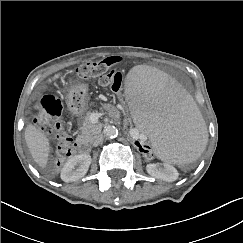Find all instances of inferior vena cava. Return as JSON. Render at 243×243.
<instances>
[{"label": "inferior vena cava", "mask_w": 243, "mask_h": 243, "mask_svg": "<svg viewBox=\"0 0 243 243\" xmlns=\"http://www.w3.org/2000/svg\"><path fill=\"white\" fill-rule=\"evenodd\" d=\"M102 140H103L102 134H98L93 138L91 144L92 146L97 147L102 142Z\"/></svg>", "instance_id": "obj_1"}]
</instances>
